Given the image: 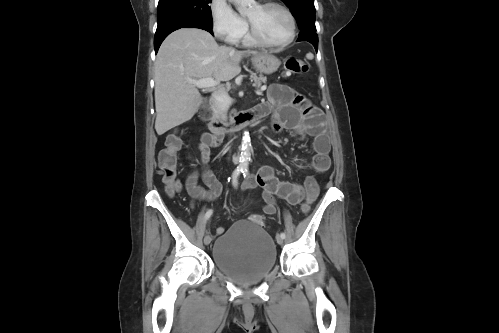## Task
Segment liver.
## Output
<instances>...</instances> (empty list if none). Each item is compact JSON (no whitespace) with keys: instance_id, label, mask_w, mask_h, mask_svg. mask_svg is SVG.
I'll use <instances>...</instances> for the list:
<instances>
[{"instance_id":"liver-1","label":"liver","mask_w":499,"mask_h":333,"mask_svg":"<svg viewBox=\"0 0 499 333\" xmlns=\"http://www.w3.org/2000/svg\"><path fill=\"white\" fill-rule=\"evenodd\" d=\"M250 54L260 53L219 46L201 29L182 28L171 33L163 41L154 65L157 134L189 121L198 111L202 96L187 79L229 81L240 73L242 57Z\"/></svg>"}]
</instances>
